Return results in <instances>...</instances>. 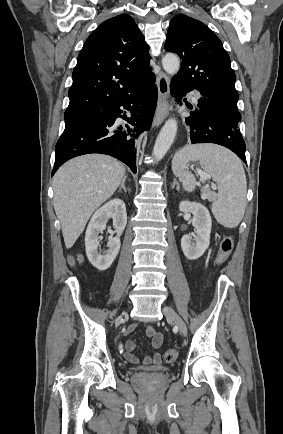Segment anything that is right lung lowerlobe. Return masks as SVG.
<instances>
[{
    "mask_svg": "<svg viewBox=\"0 0 283 434\" xmlns=\"http://www.w3.org/2000/svg\"><path fill=\"white\" fill-rule=\"evenodd\" d=\"M154 83L155 75L149 74L124 98L101 110L66 121L65 130L56 144L52 175L67 160L89 153L113 156L136 173L135 144L138 136L152 123L158 97ZM118 117L127 124L118 126L115 122Z\"/></svg>",
    "mask_w": 283,
    "mask_h": 434,
    "instance_id": "right-lung-lower-lobe-1",
    "label": "right lung lower lobe"
}]
</instances>
